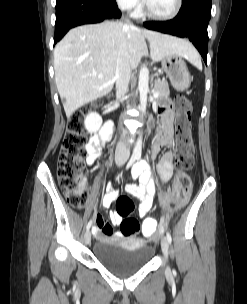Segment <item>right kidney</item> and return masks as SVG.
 Wrapping results in <instances>:
<instances>
[{"label":"right kidney","instance_id":"ca27d5eb","mask_svg":"<svg viewBox=\"0 0 247 304\" xmlns=\"http://www.w3.org/2000/svg\"><path fill=\"white\" fill-rule=\"evenodd\" d=\"M84 124L89 133H96L102 125V118L96 112H91L85 118Z\"/></svg>","mask_w":247,"mask_h":304}]
</instances>
